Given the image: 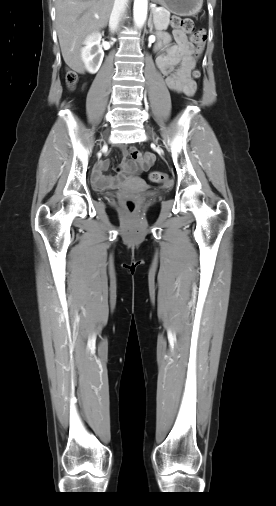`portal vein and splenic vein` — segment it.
Instances as JSON below:
<instances>
[{
	"label": "portal vein and splenic vein",
	"mask_w": 276,
	"mask_h": 506,
	"mask_svg": "<svg viewBox=\"0 0 276 506\" xmlns=\"http://www.w3.org/2000/svg\"><path fill=\"white\" fill-rule=\"evenodd\" d=\"M154 10L159 11V10H160V8H156V7H155V9H154Z\"/></svg>",
	"instance_id": "obj_1"
}]
</instances>
